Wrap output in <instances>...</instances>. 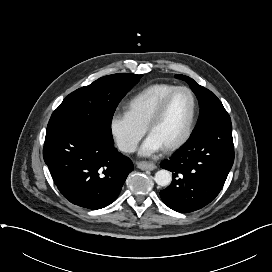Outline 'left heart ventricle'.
Masks as SVG:
<instances>
[{
  "mask_svg": "<svg viewBox=\"0 0 272 272\" xmlns=\"http://www.w3.org/2000/svg\"><path fill=\"white\" fill-rule=\"evenodd\" d=\"M192 112V100L185 91L176 93L160 121L151 130L163 147L177 141L184 133Z\"/></svg>",
  "mask_w": 272,
  "mask_h": 272,
  "instance_id": "1",
  "label": "left heart ventricle"
}]
</instances>
